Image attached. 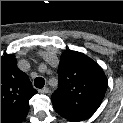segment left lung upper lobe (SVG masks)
Returning <instances> with one entry per match:
<instances>
[{
    "label": "left lung upper lobe",
    "mask_w": 123,
    "mask_h": 123,
    "mask_svg": "<svg viewBox=\"0 0 123 123\" xmlns=\"http://www.w3.org/2000/svg\"><path fill=\"white\" fill-rule=\"evenodd\" d=\"M58 90L51 96L55 111L71 122L90 117L100 106L108 80L91 58L76 51H65L58 67Z\"/></svg>",
    "instance_id": "obj_1"
}]
</instances>
